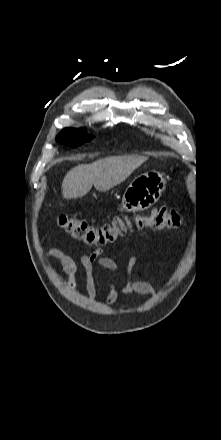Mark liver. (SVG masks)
Listing matches in <instances>:
<instances>
[{"label": "liver", "mask_w": 221, "mask_h": 440, "mask_svg": "<svg viewBox=\"0 0 221 440\" xmlns=\"http://www.w3.org/2000/svg\"><path fill=\"white\" fill-rule=\"evenodd\" d=\"M147 160L143 156L107 157L91 164L78 165L63 179L62 195L65 199L85 196L92 188L105 192L119 185Z\"/></svg>", "instance_id": "6515ba94"}]
</instances>
